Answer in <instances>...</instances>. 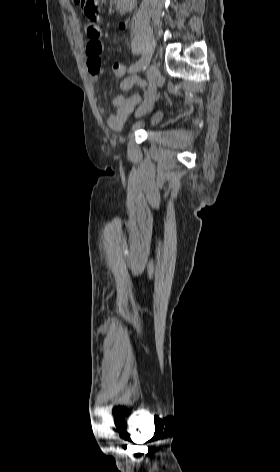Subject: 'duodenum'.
<instances>
[{
    "instance_id": "obj_1",
    "label": "duodenum",
    "mask_w": 280,
    "mask_h": 472,
    "mask_svg": "<svg viewBox=\"0 0 280 472\" xmlns=\"http://www.w3.org/2000/svg\"><path fill=\"white\" fill-rule=\"evenodd\" d=\"M119 13H120V14H123V11H122V10H119Z\"/></svg>"
}]
</instances>
